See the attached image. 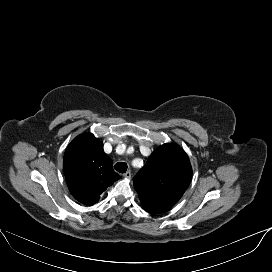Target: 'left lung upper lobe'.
I'll return each instance as SVG.
<instances>
[{
    "label": "left lung upper lobe",
    "mask_w": 272,
    "mask_h": 272,
    "mask_svg": "<svg viewBox=\"0 0 272 272\" xmlns=\"http://www.w3.org/2000/svg\"><path fill=\"white\" fill-rule=\"evenodd\" d=\"M191 178L192 168L184 150L166 143L150 155L133 182L143 208L160 214L178 202Z\"/></svg>",
    "instance_id": "1"
}]
</instances>
